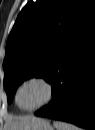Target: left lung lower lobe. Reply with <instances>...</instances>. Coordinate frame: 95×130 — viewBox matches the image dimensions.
I'll return each instance as SVG.
<instances>
[{"mask_svg":"<svg viewBox=\"0 0 95 130\" xmlns=\"http://www.w3.org/2000/svg\"><path fill=\"white\" fill-rule=\"evenodd\" d=\"M51 85V103L35 115L95 129V13L66 47Z\"/></svg>","mask_w":95,"mask_h":130,"instance_id":"0a47b994","label":"left lung lower lobe"}]
</instances>
